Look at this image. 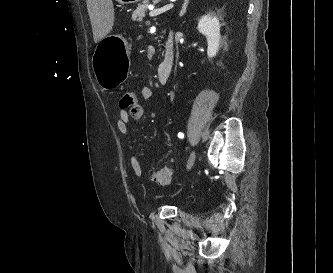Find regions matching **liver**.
<instances>
[{"mask_svg": "<svg viewBox=\"0 0 333 273\" xmlns=\"http://www.w3.org/2000/svg\"><path fill=\"white\" fill-rule=\"evenodd\" d=\"M95 43L102 40L114 23V6L112 0H86Z\"/></svg>", "mask_w": 333, "mask_h": 273, "instance_id": "1", "label": "liver"}]
</instances>
